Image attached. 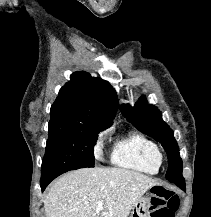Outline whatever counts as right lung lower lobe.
I'll use <instances>...</instances> for the list:
<instances>
[{
  "label": "right lung lower lobe",
  "instance_id": "98d812e1",
  "mask_svg": "<svg viewBox=\"0 0 211 217\" xmlns=\"http://www.w3.org/2000/svg\"><path fill=\"white\" fill-rule=\"evenodd\" d=\"M67 171H61V172H57V173H53V174H50L48 176H45V177H41V180H40V186H41V190L44 191L46 186L53 180L55 179L56 177H58L59 175L65 173Z\"/></svg>",
  "mask_w": 211,
  "mask_h": 217
}]
</instances>
